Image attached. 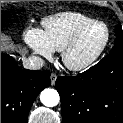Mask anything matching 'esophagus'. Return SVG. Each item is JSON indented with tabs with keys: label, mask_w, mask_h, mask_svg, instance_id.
<instances>
[{
	"label": "esophagus",
	"mask_w": 123,
	"mask_h": 123,
	"mask_svg": "<svg viewBox=\"0 0 123 123\" xmlns=\"http://www.w3.org/2000/svg\"><path fill=\"white\" fill-rule=\"evenodd\" d=\"M57 79V75L55 73H51L50 75V81H51V85H54Z\"/></svg>",
	"instance_id": "esophagus-1"
}]
</instances>
